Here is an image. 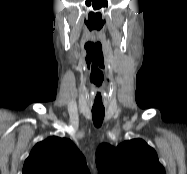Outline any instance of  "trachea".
Masks as SVG:
<instances>
[{"instance_id":"1","label":"trachea","mask_w":187,"mask_h":174,"mask_svg":"<svg viewBox=\"0 0 187 174\" xmlns=\"http://www.w3.org/2000/svg\"><path fill=\"white\" fill-rule=\"evenodd\" d=\"M105 115V109H92V117H93V122L94 125L99 128L103 122Z\"/></svg>"}]
</instances>
